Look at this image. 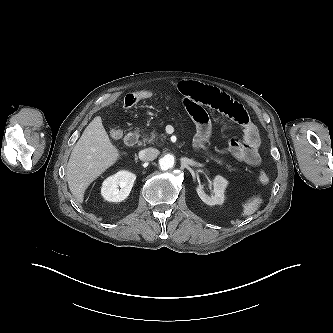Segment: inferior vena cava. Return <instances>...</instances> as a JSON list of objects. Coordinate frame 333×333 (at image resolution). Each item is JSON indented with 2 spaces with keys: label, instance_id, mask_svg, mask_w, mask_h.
<instances>
[{
  "label": "inferior vena cava",
  "instance_id": "1",
  "mask_svg": "<svg viewBox=\"0 0 333 333\" xmlns=\"http://www.w3.org/2000/svg\"><path fill=\"white\" fill-rule=\"evenodd\" d=\"M159 150L155 148H147L141 151L142 158L146 161H152L159 155Z\"/></svg>",
  "mask_w": 333,
  "mask_h": 333
}]
</instances>
